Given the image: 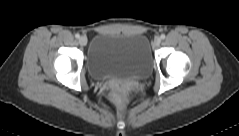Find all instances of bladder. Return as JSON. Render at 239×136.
Returning a JSON list of instances; mask_svg holds the SVG:
<instances>
[{
  "instance_id": "31cf9c89",
  "label": "bladder",
  "mask_w": 239,
  "mask_h": 136,
  "mask_svg": "<svg viewBox=\"0 0 239 136\" xmlns=\"http://www.w3.org/2000/svg\"><path fill=\"white\" fill-rule=\"evenodd\" d=\"M152 52L142 34L98 33L92 40L87 68L96 79L145 77L152 69Z\"/></svg>"
}]
</instances>
